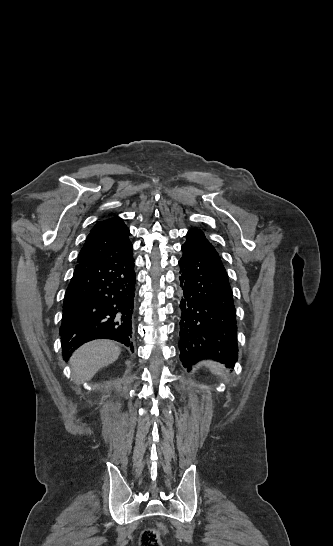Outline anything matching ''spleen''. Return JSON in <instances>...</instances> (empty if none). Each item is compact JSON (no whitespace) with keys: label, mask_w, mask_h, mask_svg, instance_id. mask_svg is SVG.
<instances>
[{"label":"spleen","mask_w":333,"mask_h":546,"mask_svg":"<svg viewBox=\"0 0 333 546\" xmlns=\"http://www.w3.org/2000/svg\"><path fill=\"white\" fill-rule=\"evenodd\" d=\"M207 365L209 366L211 371L214 372L215 374H222V366L216 363H211V362H208Z\"/></svg>","instance_id":"spleen-1"}]
</instances>
